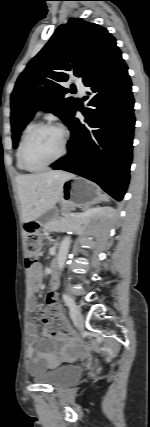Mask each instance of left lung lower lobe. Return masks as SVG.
<instances>
[{"label": "left lung lower lobe", "instance_id": "1", "mask_svg": "<svg viewBox=\"0 0 150 427\" xmlns=\"http://www.w3.org/2000/svg\"><path fill=\"white\" fill-rule=\"evenodd\" d=\"M128 68L116 47L84 81L88 108L75 109L66 123L71 131L68 153L52 164L99 184L121 201L130 179L135 126L134 99Z\"/></svg>", "mask_w": 150, "mask_h": 427}]
</instances>
